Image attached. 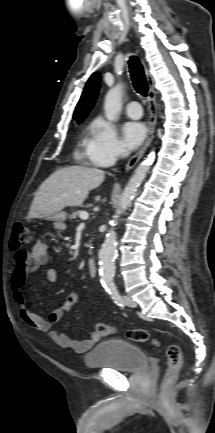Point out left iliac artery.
<instances>
[{
    "mask_svg": "<svg viewBox=\"0 0 215 433\" xmlns=\"http://www.w3.org/2000/svg\"><path fill=\"white\" fill-rule=\"evenodd\" d=\"M105 289L111 295V298L114 300V302L118 306H120V307L124 306L123 300H122V298H121V296L119 294V291H118V289H117V287H116L115 284L107 285V286H105Z\"/></svg>",
    "mask_w": 215,
    "mask_h": 433,
    "instance_id": "44dca946",
    "label": "left iliac artery"
}]
</instances>
